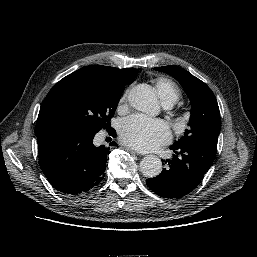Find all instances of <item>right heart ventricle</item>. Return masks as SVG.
<instances>
[{"mask_svg":"<svg viewBox=\"0 0 257 257\" xmlns=\"http://www.w3.org/2000/svg\"><path fill=\"white\" fill-rule=\"evenodd\" d=\"M156 92L163 105H174L181 96L178 86L168 78H158L155 81Z\"/></svg>","mask_w":257,"mask_h":257,"instance_id":"e07e8e85","label":"right heart ventricle"}]
</instances>
